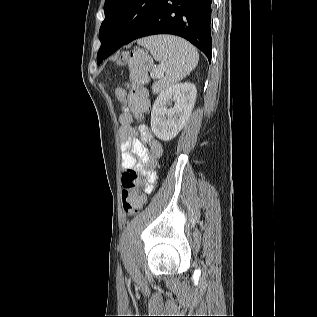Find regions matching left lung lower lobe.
<instances>
[{
  "mask_svg": "<svg viewBox=\"0 0 317 317\" xmlns=\"http://www.w3.org/2000/svg\"><path fill=\"white\" fill-rule=\"evenodd\" d=\"M211 3L212 0H162L135 39L155 34L177 35L199 48L211 61ZM120 47L119 44L105 41L103 58Z\"/></svg>",
  "mask_w": 317,
  "mask_h": 317,
  "instance_id": "1",
  "label": "left lung lower lobe"
}]
</instances>
